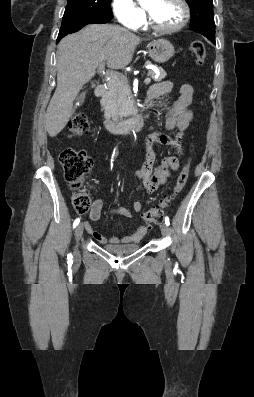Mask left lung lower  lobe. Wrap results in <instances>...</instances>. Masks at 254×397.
<instances>
[{"label":"left lung lower lobe","instance_id":"1","mask_svg":"<svg viewBox=\"0 0 254 397\" xmlns=\"http://www.w3.org/2000/svg\"><path fill=\"white\" fill-rule=\"evenodd\" d=\"M191 30L204 35L213 44H216V42H215V29H210V28H205V27H191Z\"/></svg>","mask_w":254,"mask_h":397}]
</instances>
